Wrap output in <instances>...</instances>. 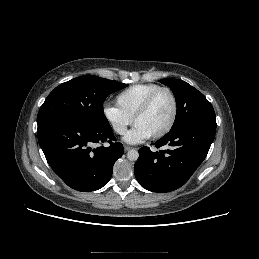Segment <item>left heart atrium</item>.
<instances>
[{
	"label": "left heart atrium",
	"instance_id": "39dd6f15",
	"mask_svg": "<svg viewBox=\"0 0 259 259\" xmlns=\"http://www.w3.org/2000/svg\"><path fill=\"white\" fill-rule=\"evenodd\" d=\"M150 135L141 127L135 125L130 131L126 133L124 136V141L130 144H138L146 139H148Z\"/></svg>",
	"mask_w": 259,
	"mask_h": 259
}]
</instances>
